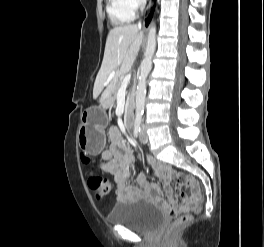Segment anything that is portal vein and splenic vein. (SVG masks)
Listing matches in <instances>:
<instances>
[{"label": "portal vein and splenic vein", "instance_id": "portal-vein-and-splenic-vein-1", "mask_svg": "<svg viewBox=\"0 0 264 247\" xmlns=\"http://www.w3.org/2000/svg\"><path fill=\"white\" fill-rule=\"evenodd\" d=\"M115 76V73H111L109 76V79L107 81V83H105V85L108 84V82ZM131 76L130 75H126L121 83V88H126L128 83L130 82Z\"/></svg>", "mask_w": 264, "mask_h": 247}]
</instances>
